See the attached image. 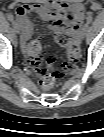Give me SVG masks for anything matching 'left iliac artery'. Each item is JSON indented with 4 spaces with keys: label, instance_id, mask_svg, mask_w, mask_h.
Here are the masks:
<instances>
[{
    "label": "left iliac artery",
    "instance_id": "left-iliac-artery-1",
    "mask_svg": "<svg viewBox=\"0 0 104 137\" xmlns=\"http://www.w3.org/2000/svg\"><path fill=\"white\" fill-rule=\"evenodd\" d=\"M92 20H93V17H92V16H89V17L87 18V24H86V25H89V24L92 22Z\"/></svg>",
    "mask_w": 104,
    "mask_h": 137
}]
</instances>
